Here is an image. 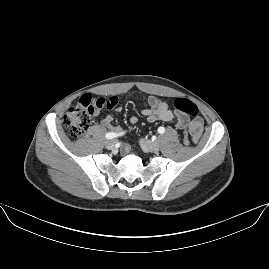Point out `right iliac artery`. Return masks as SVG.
<instances>
[{"label": "right iliac artery", "mask_w": 269, "mask_h": 269, "mask_svg": "<svg viewBox=\"0 0 269 269\" xmlns=\"http://www.w3.org/2000/svg\"><path fill=\"white\" fill-rule=\"evenodd\" d=\"M116 136H117L116 133L109 132V133L106 134L105 137H106L107 139H112V138H114V137H116Z\"/></svg>", "instance_id": "1"}]
</instances>
